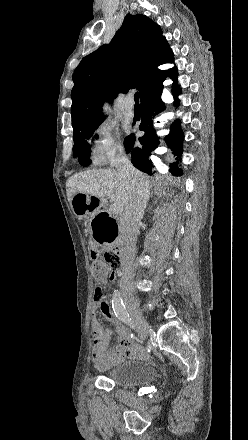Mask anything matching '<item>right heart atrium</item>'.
Listing matches in <instances>:
<instances>
[{"instance_id": "obj_1", "label": "right heart atrium", "mask_w": 248, "mask_h": 440, "mask_svg": "<svg viewBox=\"0 0 248 440\" xmlns=\"http://www.w3.org/2000/svg\"><path fill=\"white\" fill-rule=\"evenodd\" d=\"M91 153L96 165L114 164L123 155L121 135L110 123H102L96 129Z\"/></svg>"}]
</instances>
